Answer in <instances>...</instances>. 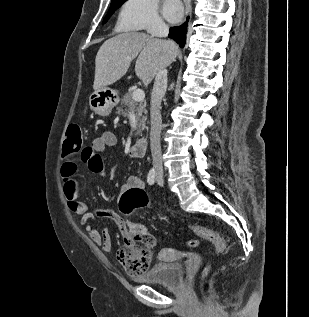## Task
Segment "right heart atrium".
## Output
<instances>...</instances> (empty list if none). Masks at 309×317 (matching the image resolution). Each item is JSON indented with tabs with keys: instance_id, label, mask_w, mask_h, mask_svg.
I'll list each match as a JSON object with an SVG mask.
<instances>
[{
	"instance_id": "right-heart-atrium-1",
	"label": "right heart atrium",
	"mask_w": 309,
	"mask_h": 317,
	"mask_svg": "<svg viewBox=\"0 0 309 317\" xmlns=\"http://www.w3.org/2000/svg\"><path fill=\"white\" fill-rule=\"evenodd\" d=\"M119 25L130 31H152L163 27L157 0H125L119 13Z\"/></svg>"
}]
</instances>
